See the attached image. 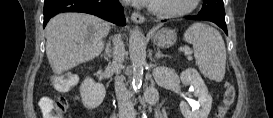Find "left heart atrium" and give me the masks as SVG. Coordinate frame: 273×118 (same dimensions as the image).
Masks as SVG:
<instances>
[{
    "label": "left heart atrium",
    "mask_w": 273,
    "mask_h": 118,
    "mask_svg": "<svg viewBox=\"0 0 273 118\" xmlns=\"http://www.w3.org/2000/svg\"><path fill=\"white\" fill-rule=\"evenodd\" d=\"M132 1H136L137 3H140L142 5H149L154 2V0H132Z\"/></svg>",
    "instance_id": "left-heart-atrium-1"
}]
</instances>
